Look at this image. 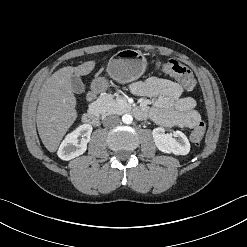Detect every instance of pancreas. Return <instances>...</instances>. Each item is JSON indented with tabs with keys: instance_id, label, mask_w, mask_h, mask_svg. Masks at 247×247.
Listing matches in <instances>:
<instances>
[{
	"instance_id": "obj_1",
	"label": "pancreas",
	"mask_w": 247,
	"mask_h": 247,
	"mask_svg": "<svg viewBox=\"0 0 247 247\" xmlns=\"http://www.w3.org/2000/svg\"><path fill=\"white\" fill-rule=\"evenodd\" d=\"M94 107L98 114L106 116L109 114H118L120 113L125 106L119 104L112 94H105L104 96L99 97L94 102Z\"/></svg>"
}]
</instances>
